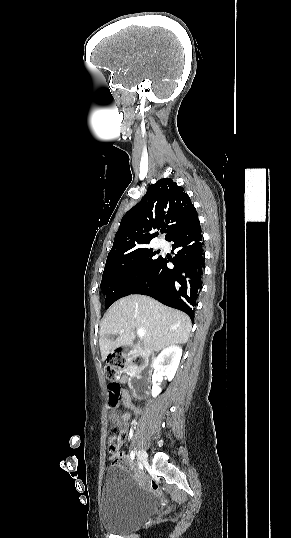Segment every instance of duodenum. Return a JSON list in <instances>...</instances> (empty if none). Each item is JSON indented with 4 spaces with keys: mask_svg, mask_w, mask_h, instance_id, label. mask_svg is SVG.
<instances>
[{
    "mask_svg": "<svg viewBox=\"0 0 291 538\" xmlns=\"http://www.w3.org/2000/svg\"><path fill=\"white\" fill-rule=\"evenodd\" d=\"M121 352L125 355L136 356L138 354H143L139 348L135 347H123ZM154 357L148 355L144 357L143 364H140L141 373H150V370L153 368ZM129 378L131 383V394L135 398L145 396L148 392L152 390V381L148 378V375L141 374L139 371L129 373Z\"/></svg>",
    "mask_w": 291,
    "mask_h": 538,
    "instance_id": "410a0bca",
    "label": "duodenum"
}]
</instances>
